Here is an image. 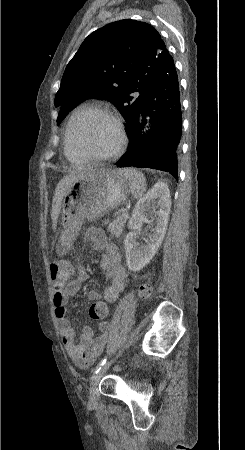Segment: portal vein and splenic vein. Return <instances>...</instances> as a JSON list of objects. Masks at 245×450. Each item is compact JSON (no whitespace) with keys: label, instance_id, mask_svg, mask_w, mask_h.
<instances>
[{"label":"portal vein and splenic vein","instance_id":"portal-vein-and-splenic-vein-1","mask_svg":"<svg viewBox=\"0 0 245 450\" xmlns=\"http://www.w3.org/2000/svg\"><path fill=\"white\" fill-rule=\"evenodd\" d=\"M122 217L127 219L128 218V214L124 212V213H122Z\"/></svg>","mask_w":245,"mask_h":450}]
</instances>
